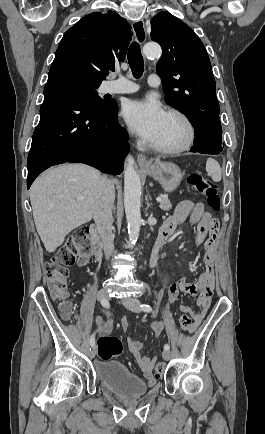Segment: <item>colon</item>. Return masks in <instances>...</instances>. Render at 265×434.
I'll use <instances>...</instances> for the list:
<instances>
[{
    "label": "colon",
    "instance_id": "5ec220e1",
    "mask_svg": "<svg viewBox=\"0 0 265 434\" xmlns=\"http://www.w3.org/2000/svg\"><path fill=\"white\" fill-rule=\"evenodd\" d=\"M189 186L201 196L205 197L209 207L214 211L221 210V201L216 185L204 178L199 173H193L188 178ZM84 260V259H82ZM75 262L74 243L67 241L58 247L51 262L44 269L48 287L53 298L64 299L68 293V267ZM67 306V304H65ZM183 313V312H182ZM180 315V326L184 331L193 328V319H184ZM97 350L100 359L108 362L114 356H120L123 351V344L115 335L101 336L97 342ZM164 360H159L155 367L154 375L159 377L164 370Z\"/></svg>",
    "mask_w": 265,
    "mask_h": 434
}]
</instances>
